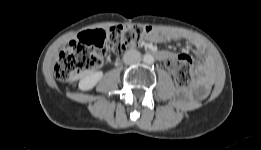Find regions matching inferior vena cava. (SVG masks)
Returning <instances> with one entry per match:
<instances>
[{
  "mask_svg": "<svg viewBox=\"0 0 261 150\" xmlns=\"http://www.w3.org/2000/svg\"><path fill=\"white\" fill-rule=\"evenodd\" d=\"M141 54L137 50H128L123 57L124 63L127 65L136 64L140 61Z\"/></svg>",
  "mask_w": 261,
  "mask_h": 150,
  "instance_id": "1",
  "label": "inferior vena cava"
}]
</instances>
